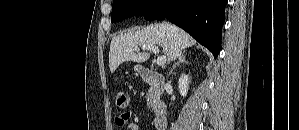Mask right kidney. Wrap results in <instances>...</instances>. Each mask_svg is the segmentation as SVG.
Masks as SVG:
<instances>
[{
    "instance_id": "obj_1",
    "label": "right kidney",
    "mask_w": 299,
    "mask_h": 130,
    "mask_svg": "<svg viewBox=\"0 0 299 130\" xmlns=\"http://www.w3.org/2000/svg\"><path fill=\"white\" fill-rule=\"evenodd\" d=\"M179 92L181 94V96L185 97L187 95L188 92V88H189V76L186 74H182L179 78Z\"/></svg>"
}]
</instances>
